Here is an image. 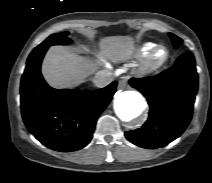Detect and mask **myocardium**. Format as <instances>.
I'll use <instances>...</instances> for the list:
<instances>
[{
	"mask_svg": "<svg viewBox=\"0 0 212 183\" xmlns=\"http://www.w3.org/2000/svg\"><path fill=\"white\" fill-rule=\"evenodd\" d=\"M160 49H163L165 51V57L160 61H156L155 53ZM169 59V49L164 45H156L147 55L143 57L139 66L135 70V74L140 78L147 77L165 66L168 63Z\"/></svg>",
	"mask_w": 212,
	"mask_h": 183,
	"instance_id": "f54148a6",
	"label": "myocardium"
}]
</instances>
